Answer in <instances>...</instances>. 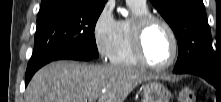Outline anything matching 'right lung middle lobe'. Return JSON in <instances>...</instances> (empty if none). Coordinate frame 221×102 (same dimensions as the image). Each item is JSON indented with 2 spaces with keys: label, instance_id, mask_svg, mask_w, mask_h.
<instances>
[{
  "label": "right lung middle lobe",
  "instance_id": "obj_1",
  "mask_svg": "<svg viewBox=\"0 0 221 102\" xmlns=\"http://www.w3.org/2000/svg\"><path fill=\"white\" fill-rule=\"evenodd\" d=\"M103 8L91 6L86 1L40 8L34 50L27 70L67 52H79L97 58L94 29Z\"/></svg>",
  "mask_w": 221,
  "mask_h": 102
}]
</instances>
